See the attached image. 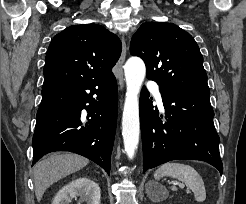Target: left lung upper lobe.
<instances>
[{
  "mask_svg": "<svg viewBox=\"0 0 246 204\" xmlns=\"http://www.w3.org/2000/svg\"><path fill=\"white\" fill-rule=\"evenodd\" d=\"M130 53L143 59L147 78L159 86L209 91L197 43L175 24L143 23L132 37Z\"/></svg>",
  "mask_w": 246,
  "mask_h": 204,
  "instance_id": "5c2ea615",
  "label": "left lung upper lobe"
}]
</instances>
